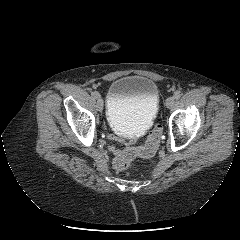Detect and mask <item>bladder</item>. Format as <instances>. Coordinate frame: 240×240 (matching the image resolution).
<instances>
[{
  "instance_id": "obj_1",
  "label": "bladder",
  "mask_w": 240,
  "mask_h": 240,
  "mask_svg": "<svg viewBox=\"0 0 240 240\" xmlns=\"http://www.w3.org/2000/svg\"><path fill=\"white\" fill-rule=\"evenodd\" d=\"M159 111V90L150 78L129 75L114 80L107 93V119L122 134L138 136L149 129Z\"/></svg>"
}]
</instances>
